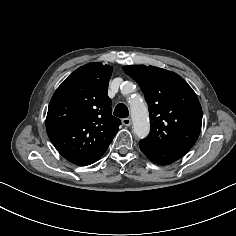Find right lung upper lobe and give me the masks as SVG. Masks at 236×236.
Wrapping results in <instances>:
<instances>
[{"label": "right lung upper lobe", "instance_id": "1", "mask_svg": "<svg viewBox=\"0 0 236 236\" xmlns=\"http://www.w3.org/2000/svg\"><path fill=\"white\" fill-rule=\"evenodd\" d=\"M111 74L102 63L81 66L52 96L46 131L64 158H100L116 135L121 121L112 116L107 95Z\"/></svg>", "mask_w": 236, "mask_h": 236}]
</instances>
